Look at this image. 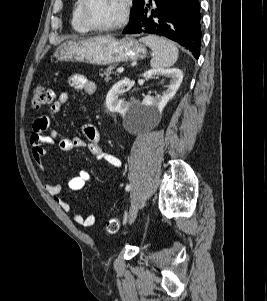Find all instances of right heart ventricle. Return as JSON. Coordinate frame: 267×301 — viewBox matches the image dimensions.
<instances>
[{
    "label": "right heart ventricle",
    "instance_id": "1",
    "mask_svg": "<svg viewBox=\"0 0 267 301\" xmlns=\"http://www.w3.org/2000/svg\"><path fill=\"white\" fill-rule=\"evenodd\" d=\"M81 5H82V0H75L73 12H72L71 24L75 31L79 33H87L90 31V29L85 25V23L82 20Z\"/></svg>",
    "mask_w": 267,
    "mask_h": 301
}]
</instances>
